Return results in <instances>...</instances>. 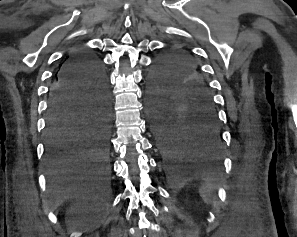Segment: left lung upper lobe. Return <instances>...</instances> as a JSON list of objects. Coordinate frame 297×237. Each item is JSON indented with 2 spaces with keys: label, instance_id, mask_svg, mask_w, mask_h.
Returning <instances> with one entry per match:
<instances>
[{
  "label": "left lung upper lobe",
  "instance_id": "left-lung-upper-lobe-1",
  "mask_svg": "<svg viewBox=\"0 0 297 237\" xmlns=\"http://www.w3.org/2000/svg\"><path fill=\"white\" fill-rule=\"evenodd\" d=\"M147 92L150 102L183 105L202 100L213 104L209 86L197 65L186 52L176 48H170L149 73Z\"/></svg>",
  "mask_w": 297,
  "mask_h": 237
}]
</instances>
